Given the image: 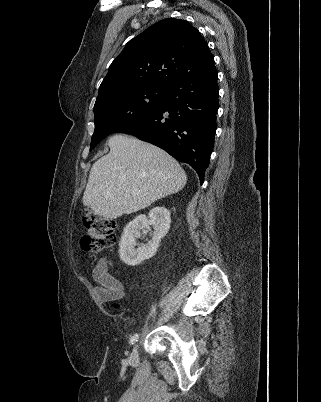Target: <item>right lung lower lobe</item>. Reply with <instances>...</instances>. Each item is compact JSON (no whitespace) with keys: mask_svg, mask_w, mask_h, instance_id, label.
Segmentation results:
<instances>
[{"mask_svg":"<svg viewBox=\"0 0 321 402\" xmlns=\"http://www.w3.org/2000/svg\"><path fill=\"white\" fill-rule=\"evenodd\" d=\"M217 75L212 63L177 79L166 87L159 108L116 132L134 135L190 164L202 184L217 127Z\"/></svg>","mask_w":321,"mask_h":402,"instance_id":"obj_1","label":"right lung lower lobe"}]
</instances>
